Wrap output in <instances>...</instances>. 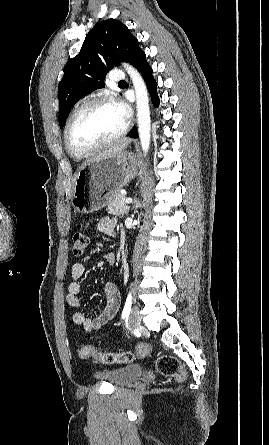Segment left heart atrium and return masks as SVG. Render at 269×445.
<instances>
[{
    "label": "left heart atrium",
    "mask_w": 269,
    "mask_h": 445,
    "mask_svg": "<svg viewBox=\"0 0 269 445\" xmlns=\"http://www.w3.org/2000/svg\"><path fill=\"white\" fill-rule=\"evenodd\" d=\"M114 105L117 108V110L121 113V115L124 117V119L128 120L130 116L128 107L122 102H115Z\"/></svg>",
    "instance_id": "1"
}]
</instances>
